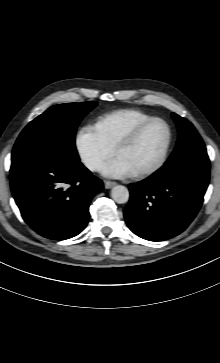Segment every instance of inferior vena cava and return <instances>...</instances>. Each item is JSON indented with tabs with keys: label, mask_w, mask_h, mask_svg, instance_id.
<instances>
[{
	"label": "inferior vena cava",
	"mask_w": 220,
	"mask_h": 363,
	"mask_svg": "<svg viewBox=\"0 0 220 363\" xmlns=\"http://www.w3.org/2000/svg\"><path fill=\"white\" fill-rule=\"evenodd\" d=\"M97 165H98L97 163H93L89 167L91 170H95L97 168Z\"/></svg>",
	"instance_id": "602c4592"
}]
</instances>
